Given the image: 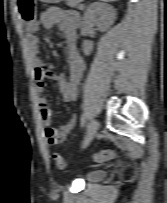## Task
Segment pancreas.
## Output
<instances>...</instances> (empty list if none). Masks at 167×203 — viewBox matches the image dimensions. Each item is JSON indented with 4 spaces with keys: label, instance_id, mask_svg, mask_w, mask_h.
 I'll list each match as a JSON object with an SVG mask.
<instances>
[{
    "label": "pancreas",
    "instance_id": "1",
    "mask_svg": "<svg viewBox=\"0 0 167 203\" xmlns=\"http://www.w3.org/2000/svg\"><path fill=\"white\" fill-rule=\"evenodd\" d=\"M83 0H67V5L72 7V8H78V9H83V6L80 5V2Z\"/></svg>",
    "mask_w": 167,
    "mask_h": 203
}]
</instances>
